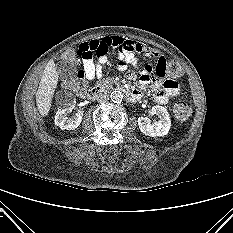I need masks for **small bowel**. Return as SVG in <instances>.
Wrapping results in <instances>:
<instances>
[{
  "mask_svg": "<svg viewBox=\"0 0 233 233\" xmlns=\"http://www.w3.org/2000/svg\"><path fill=\"white\" fill-rule=\"evenodd\" d=\"M109 53L117 60L119 70H125L129 65L136 64L135 53H140L149 59L156 60L157 66L159 62L165 60L161 52L139 42L120 37L95 39L83 42L77 48V54L82 58L87 79L101 78L103 66L111 64L108 57ZM94 57H96V61ZM126 75L132 80L136 78V74L133 71H128ZM140 81L142 85L151 84L154 91V100L162 105L166 104L171 97L177 96L180 93L178 82L171 79L163 80L155 76L153 68L149 64L141 70ZM134 93L137 95V98L142 96L140 90L136 89Z\"/></svg>",
  "mask_w": 233,
  "mask_h": 233,
  "instance_id": "1",
  "label": "small bowel"
}]
</instances>
